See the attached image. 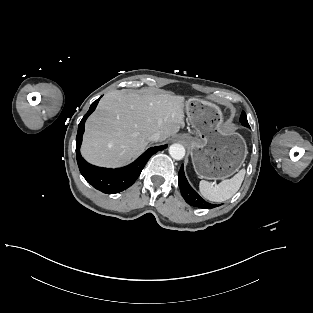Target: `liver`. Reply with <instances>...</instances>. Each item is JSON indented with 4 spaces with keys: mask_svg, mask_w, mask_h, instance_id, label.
<instances>
[{
    "mask_svg": "<svg viewBox=\"0 0 313 313\" xmlns=\"http://www.w3.org/2000/svg\"><path fill=\"white\" fill-rule=\"evenodd\" d=\"M183 125V96L114 90L88 118L81 152L94 165L118 167L140 153L153 133L164 141Z\"/></svg>",
    "mask_w": 313,
    "mask_h": 313,
    "instance_id": "liver-1",
    "label": "liver"
}]
</instances>
